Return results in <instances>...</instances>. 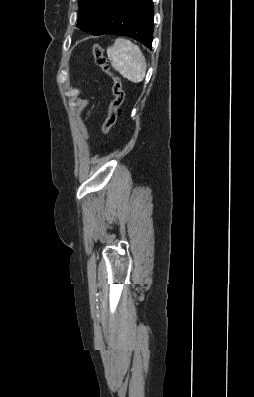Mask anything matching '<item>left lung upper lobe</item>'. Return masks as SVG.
Masks as SVG:
<instances>
[{"mask_svg":"<svg viewBox=\"0 0 254 397\" xmlns=\"http://www.w3.org/2000/svg\"><path fill=\"white\" fill-rule=\"evenodd\" d=\"M107 0H79L77 27L92 32L99 24L107 9Z\"/></svg>","mask_w":254,"mask_h":397,"instance_id":"left-lung-upper-lobe-1","label":"left lung upper lobe"}]
</instances>
